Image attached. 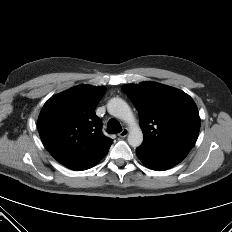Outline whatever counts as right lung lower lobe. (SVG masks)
Instances as JSON below:
<instances>
[{
    "label": "right lung lower lobe",
    "mask_w": 232,
    "mask_h": 232,
    "mask_svg": "<svg viewBox=\"0 0 232 232\" xmlns=\"http://www.w3.org/2000/svg\"><path fill=\"white\" fill-rule=\"evenodd\" d=\"M97 163H94V164H89V165H84V166H78V167H74V168H71L72 170H85V169H89L93 166H95Z\"/></svg>",
    "instance_id": "obj_1"
}]
</instances>
